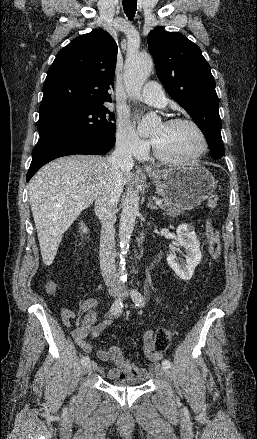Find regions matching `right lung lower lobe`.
Returning a JSON list of instances; mask_svg holds the SVG:
<instances>
[{
	"instance_id": "1",
	"label": "right lung lower lobe",
	"mask_w": 257,
	"mask_h": 439,
	"mask_svg": "<svg viewBox=\"0 0 257 439\" xmlns=\"http://www.w3.org/2000/svg\"><path fill=\"white\" fill-rule=\"evenodd\" d=\"M115 141L104 137L79 132L62 130L41 136L34 151L26 180L49 161L72 154L100 155L108 152Z\"/></svg>"
}]
</instances>
